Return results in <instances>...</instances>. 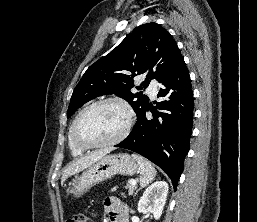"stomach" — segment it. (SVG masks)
<instances>
[{
  "label": "stomach",
  "instance_id": "1",
  "mask_svg": "<svg viewBox=\"0 0 257 222\" xmlns=\"http://www.w3.org/2000/svg\"><path fill=\"white\" fill-rule=\"evenodd\" d=\"M139 169L138 162L129 154L105 155L75 178L71 188L67 189V194L73 197H80L94 185L117 174L131 176Z\"/></svg>",
  "mask_w": 257,
  "mask_h": 222
}]
</instances>
